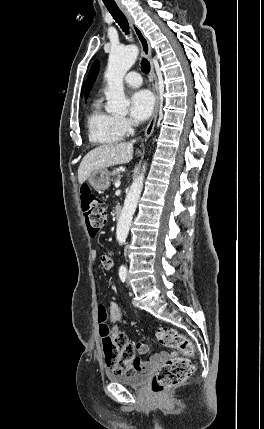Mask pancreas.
<instances>
[{"label": "pancreas", "instance_id": "1", "mask_svg": "<svg viewBox=\"0 0 264 429\" xmlns=\"http://www.w3.org/2000/svg\"><path fill=\"white\" fill-rule=\"evenodd\" d=\"M111 175L113 176V179L115 182H117L120 179V172L118 170H113V172L111 173Z\"/></svg>", "mask_w": 264, "mask_h": 429}]
</instances>
